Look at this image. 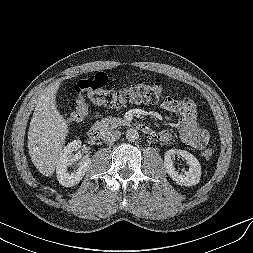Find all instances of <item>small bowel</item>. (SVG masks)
<instances>
[{
    "label": "small bowel",
    "mask_w": 253,
    "mask_h": 253,
    "mask_svg": "<svg viewBox=\"0 0 253 253\" xmlns=\"http://www.w3.org/2000/svg\"><path fill=\"white\" fill-rule=\"evenodd\" d=\"M161 107L180 118L179 135L186 145L198 150L206 145L208 133L198 123L195 104L191 98L167 97ZM157 138L162 142H169L172 134L168 130H162L157 133Z\"/></svg>",
    "instance_id": "small-bowel-1"
}]
</instances>
